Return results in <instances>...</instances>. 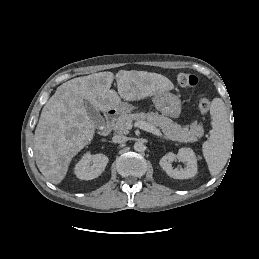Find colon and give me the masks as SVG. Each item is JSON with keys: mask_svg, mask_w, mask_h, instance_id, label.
<instances>
[{"mask_svg": "<svg viewBox=\"0 0 259 259\" xmlns=\"http://www.w3.org/2000/svg\"><path fill=\"white\" fill-rule=\"evenodd\" d=\"M178 84L183 88H192L195 87L198 83V78L187 72H180L177 76ZM199 111L202 114H206L210 108V101L206 96H201L199 99Z\"/></svg>", "mask_w": 259, "mask_h": 259, "instance_id": "5ec220e1", "label": "colon"}]
</instances>
